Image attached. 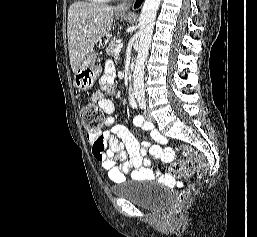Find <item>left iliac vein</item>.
I'll return each mask as SVG.
<instances>
[{"label": "left iliac vein", "mask_w": 257, "mask_h": 237, "mask_svg": "<svg viewBox=\"0 0 257 237\" xmlns=\"http://www.w3.org/2000/svg\"><path fill=\"white\" fill-rule=\"evenodd\" d=\"M145 117L148 121H154L153 116L151 115L150 110H145Z\"/></svg>", "instance_id": "1"}]
</instances>
